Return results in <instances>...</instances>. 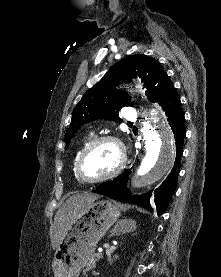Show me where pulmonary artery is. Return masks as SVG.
I'll list each match as a JSON object with an SVG mask.
<instances>
[{
	"label": "pulmonary artery",
	"mask_w": 221,
	"mask_h": 277,
	"mask_svg": "<svg viewBox=\"0 0 221 277\" xmlns=\"http://www.w3.org/2000/svg\"><path fill=\"white\" fill-rule=\"evenodd\" d=\"M123 116L129 122L134 121L136 119L135 111L130 107H125L123 111Z\"/></svg>",
	"instance_id": "1"
}]
</instances>
